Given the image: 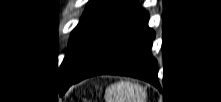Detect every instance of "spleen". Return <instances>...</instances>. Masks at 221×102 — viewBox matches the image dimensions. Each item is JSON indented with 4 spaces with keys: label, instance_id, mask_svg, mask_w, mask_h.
I'll list each match as a JSON object with an SVG mask.
<instances>
[{
    "label": "spleen",
    "instance_id": "spleen-1",
    "mask_svg": "<svg viewBox=\"0 0 221 102\" xmlns=\"http://www.w3.org/2000/svg\"><path fill=\"white\" fill-rule=\"evenodd\" d=\"M105 97L107 102H144L146 92L139 84L120 81L106 89Z\"/></svg>",
    "mask_w": 221,
    "mask_h": 102
}]
</instances>
